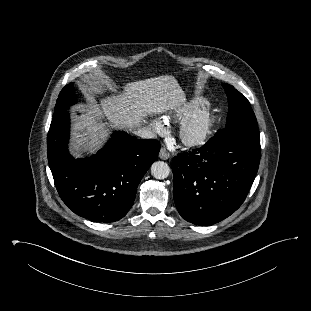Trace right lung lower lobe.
Instances as JSON below:
<instances>
[{"label":"right lung lower lobe","instance_id":"obj_1","mask_svg":"<svg viewBox=\"0 0 311 311\" xmlns=\"http://www.w3.org/2000/svg\"><path fill=\"white\" fill-rule=\"evenodd\" d=\"M67 110L55 116L47 136L49 166L63 202L77 215L95 222L123 218L141 179L156 161L160 142L117 131L96 155L74 159L68 152Z\"/></svg>","mask_w":311,"mask_h":311}]
</instances>
